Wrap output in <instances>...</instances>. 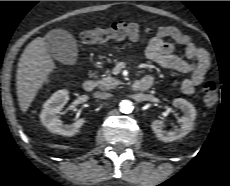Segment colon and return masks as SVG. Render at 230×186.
I'll return each mask as SVG.
<instances>
[{
    "instance_id": "obj_1",
    "label": "colon",
    "mask_w": 230,
    "mask_h": 186,
    "mask_svg": "<svg viewBox=\"0 0 230 186\" xmlns=\"http://www.w3.org/2000/svg\"><path fill=\"white\" fill-rule=\"evenodd\" d=\"M134 23L116 21L107 28L86 30L80 34V41L84 44H99L109 40L131 39L138 40L147 33ZM219 87L214 81H209L203 88V100L208 107L218 101Z\"/></svg>"
}]
</instances>
